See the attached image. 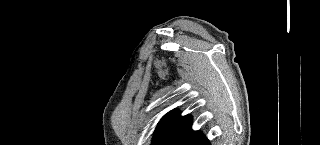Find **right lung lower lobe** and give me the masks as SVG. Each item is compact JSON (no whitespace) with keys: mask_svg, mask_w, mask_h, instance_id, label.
Wrapping results in <instances>:
<instances>
[{"mask_svg":"<svg viewBox=\"0 0 320 145\" xmlns=\"http://www.w3.org/2000/svg\"><path fill=\"white\" fill-rule=\"evenodd\" d=\"M168 145H210V143L203 133L189 129L173 137Z\"/></svg>","mask_w":320,"mask_h":145,"instance_id":"right-lung-lower-lobe-1","label":"right lung lower lobe"}]
</instances>
